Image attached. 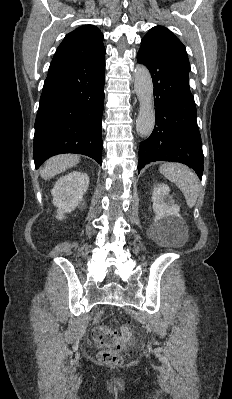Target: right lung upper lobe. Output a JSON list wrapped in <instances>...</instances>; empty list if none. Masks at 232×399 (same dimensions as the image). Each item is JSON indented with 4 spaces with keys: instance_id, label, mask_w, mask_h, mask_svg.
<instances>
[{
    "instance_id": "right-lung-upper-lobe-1",
    "label": "right lung upper lobe",
    "mask_w": 232,
    "mask_h": 399,
    "mask_svg": "<svg viewBox=\"0 0 232 399\" xmlns=\"http://www.w3.org/2000/svg\"><path fill=\"white\" fill-rule=\"evenodd\" d=\"M105 54L103 34L92 25H83L67 34L53 60L90 59Z\"/></svg>"
}]
</instances>
